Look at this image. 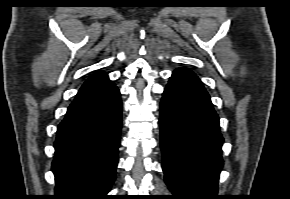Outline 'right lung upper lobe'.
Returning <instances> with one entry per match:
<instances>
[{"label": "right lung upper lobe", "mask_w": 290, "mask_h": 199, "mask_svg": "<svg viewBox=\"0 0 290 199\" xmlns=\"http://www.w3.org/2000/svg\"><path fill=\"white\" fill-rule=\"evenodd\" d=\"M108 80H109V78H108L107 74L97 73V74L91 76L88 80H86L79 91L95 87L97 85H100V84L108 81Z\"/></svg>", "instance_id": "right-lung-upper-lobe-1"}]
</instances>
